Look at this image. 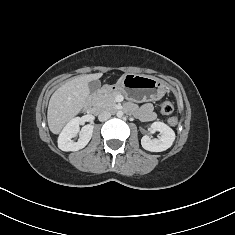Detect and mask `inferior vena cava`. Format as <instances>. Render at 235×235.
<instances>
[{
  "label": "inferior vena cava",
  "instance_id": "obj_1",
  "mask_svg": "<svg viewBox=\"0 0 235 235\" xmlns=\"http://www.w3.org/2000/svg\"><path fill=\"white\" fill-rule=\"evenodd\" d=\"M111 117V112L107 110H103L99 113L98 119L99 121H106Z\"/></svg>",
  "mask_w": 235,
  "mask_h": 235
}]
</instances>
